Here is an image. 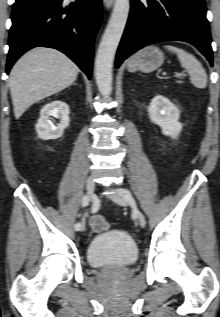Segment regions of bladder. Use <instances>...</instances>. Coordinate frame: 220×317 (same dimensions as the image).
I'll use <instances>...</instances> for the list:
<instances>
[{
	"instance_id": "31cf9c89",
	"label": "bladder",
	"mask_w": 220,
	"mask_h": 317,
	"mask_svg": "<svg viewBox=\"0 0 220 317\" xmlns=\"http://www.w3.org/2000/svg\"><path fill=\"white\" fill-rule=\"evenodd\" d=\"M139 256L133 238L122 230H109L94 236L87 246V260L97 268H121Z\"/></svg>"
}]
</instances>
